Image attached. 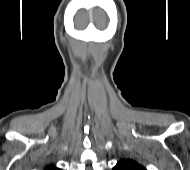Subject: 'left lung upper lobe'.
I'll return each mask as SVG.
<instances>
[{
  "label": "left lung upper lobe",
  "mask_w": 190,
  "mask_h": 170,
  "mask_svg": "<svg viewBox=\"0 0 190 170\" xmlns=\"http://www.w3.org/2000/svg\"><path fill=\"white\" fill-rule=\"evenodd\" d=\"M113 170H146L142 165L131 159H121L117 162Z\"/></svg>",
  "instance_id": "5c2ea615"
}]
</instances>
